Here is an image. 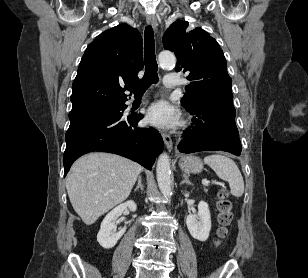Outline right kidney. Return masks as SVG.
Here are the masks:
<instances>
[{
    "label": "right kidney",
    "mask_w": 308,
    "mask_h": 278,
    "mask_svg": "<svg viewBox=\"0 0 308 278\" xmlns=\"http://www.w3.org/2000/svg\"><path fill=\"white\" fill-rule=\"evenodd\" d=\"M136 203L134 201H127L119 206L115 207L110 213L106 215L101 223L100 231L97 235L98 243L105 249H110L116 245L118 240L126 231V227L114 232L115 222L122 215V213L129 209L130 211H136Z\"/></svg>",
    "instance_id": "right-kidney-1"
}]
</instances>
